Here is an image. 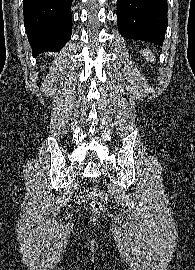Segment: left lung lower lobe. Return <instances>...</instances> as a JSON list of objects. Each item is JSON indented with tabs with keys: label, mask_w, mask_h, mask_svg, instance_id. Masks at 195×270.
<instances>
[{
	"label": "left lung lower lobe",
	"mask_w": 195,
	"mask_h": 270,
	"mask_svg": "<svg viewBox=\"0 0 195 270\" xmlns=\"http://www.w3.org/2000/svg\"><path fill=\"white\" fill-rule=\"evenodd\" d=\"M121 36L163 45L167 29V0H117Z\"/></svg>",
	"instance_id": "left-lung-lower-lobe-1"
}]
</instances>
